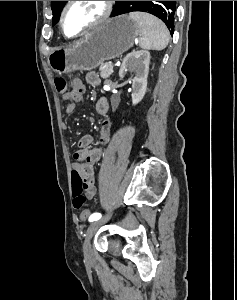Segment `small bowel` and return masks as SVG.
Listing matches in <instances>:
<instances>
[{"label": "small bowel", "mask_w": 237, "mask_h": 300, "mask_svg": "<svg viewBox=\"0 0 237 300\" xmlns=\"http://www.w3.org/2000/svg\"><path fill=\"white\" fill-rule=\"evenodd\" d=\"M86 83L90 86H97L100 82L98 74L95 72H89L85 76ZM83 86L80 79L75 78L72 81V89H77ZM63 98L68 101L66 105V112L72 113L76 107V102L70 101L67 96ZM96 112L101 116H106L109 111V102L106 98H99L95 105ZM112 134V123L108 118H104L100 125L99 141L102 144H106L110 141ZM92 135L82 136L77 145L78 150L74 153L73 157L78 162L72 165V170L76 169L80 172L83 179V188L85 191V197L91 199L96 193L95 178L93 172V163H95L101 157L102 151L100 147H91L93 144ZM81 217L85 216L81 214Z\"/></svg>", "instance_id": "c3829d8e"}]
</instances>
